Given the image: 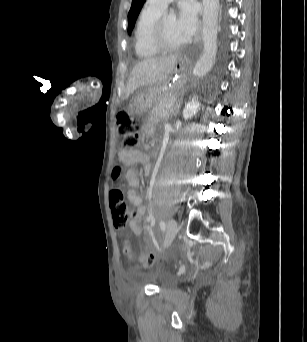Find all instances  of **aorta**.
<instances>
[{
	"label": "aorta",
	"instance_id": "aorta-1",
	"mask_svg": "<svg viewBox=\"0 0 307 342\" xmlns=\"http://www.w3.org/2000/svg\"><path fill=\"white\" fill-rule=\"evenodd\" d=\"M219 0H203V54L199 58L193 76H203L215 64L217 52ZM177 16L175 10H170L167 20L175 22Z\"/></svg>",
	"mask_w": 307,
	"mask_h": 342
}]
</instances>
